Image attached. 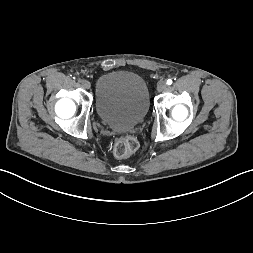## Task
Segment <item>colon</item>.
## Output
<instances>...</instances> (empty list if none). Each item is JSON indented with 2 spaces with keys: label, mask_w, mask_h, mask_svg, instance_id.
<instances>
[{
  "label": "colon",
  "mask_w": 253,
  "mask_h": 253,
  "mask_svg": "<svg viewBox=\"0 0 253 253\" xmlns=\"http://www.w3.org/2000/svg\"><path fill=\"white\" fill-rule=\"evenodd\" d=\"M138 148V141L133 136H124L118 139L113 147V154L116 158H125L134 153Z\"/></svg>",
  "instance_id": "obj_1"
}]
</instances>
